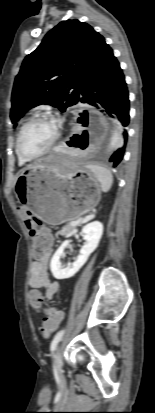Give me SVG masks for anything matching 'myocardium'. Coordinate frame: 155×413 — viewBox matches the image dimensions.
<instances>
[{
	"label": "myocardium",
	"instance_id": "obj_1",
	"mask_svg": "<svg viewBox=\"0 0 155 413\" xmlns=\"http://www.w3.org/2000/svg\"><path fill=\"white\" fill-rule=\"evenodd\" d=\"M38 120H49V121H53L56 124V133L55 136L53 138V140L50 142V144L43 149L42 151L35 153V154H29L27 152L24 151L23 147H22V137H23V133L25 131V129L32 124L35 121ZM60 136V131H59V126L56 123V121L48 114L45 113H40V114H36L34 116H32L31 118H29L20 128L18 135H17V139H16V146H17V152L18 154L25 160H33V159H37L42 157L43 155L47 154L48 152H50L56 145L58 139Z\"/></svg>",
	"mask_w": 155,
	"mask_h": 413
}]
</instances>
